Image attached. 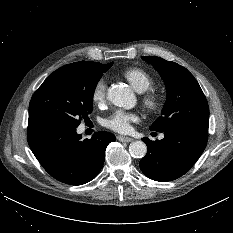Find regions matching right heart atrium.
I'll list each match as a JSON object with an SVG mask.
<instances>
[{"mask_svg": "<svg viewBox=\"0 0 233 233\" xmlns=\"http://www.w3.org/2000/svg\"><path fill=\"white\" fill-rule=\"evenodd\" d=\"M107 84L104 80L100 79L94 85L92 91V100L96 104H103L106 99Z\"/></svg>", "mask_w": 233, "mask_h": 233, "instance_id": "obj_1", "label": "right heart atrium"}]
</instances>
